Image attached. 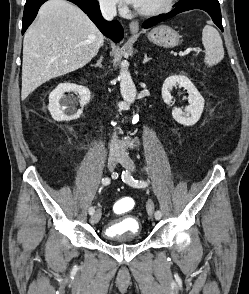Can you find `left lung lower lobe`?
<instances>
[{"instance_id": "1", "label": "left lung lower lobe", "mask_w": 249, "mask_h": 294, "mask_svg": "<svg viewBox=\"0 0 249 294\" xmlns=\"http://www.w3.org/2000/svg\"><path fill=\"white\" fill-rule=\"evenodd\" d=\"M192 9H201L206 11L212 17L214 23L223 31L220 4L218 0H180L174 10L168 14L150 18L145 22L144 27L149 28L163 20L177 15L178 13Z\"/></svg>"}]
</instances>
